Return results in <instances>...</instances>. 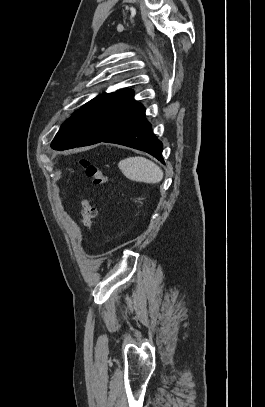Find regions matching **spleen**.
Segmentation results:
<instances>
[{
  "instance_id": "3e777b00",
  "label": "spleen",
  "mask_w": 265,
  "mask_h": 407,
  "mask_svg": "<svg viewBox=\"0 0 265 407\" xmlns=\"http://www.w3.org/2000/svg\"><path fill=\"white\" fill-rule=\"evenodd\" d=\"M118 166L127 178L138 182L159 183L164 175L158 165L140 156L123 159L119 162Z\"/></svg>"
}]
</instances>
